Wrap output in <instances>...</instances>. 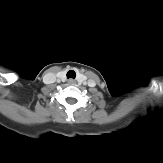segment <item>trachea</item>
I'll list each match as a JSON object with an SVG mask.
<instances>
[{
  "instance_id": "1",
  "label": "trachea",
  "mask_w": 163,
  "mask_h": 163,
  "mask_svg": "<svg viewBox=\"0 0 163 163\" xmlns=\"http://www.w3.org/2000/svg\"><path fill=\"white\" fill-rule=\"evenodd\" d=\"M75 77H76L75 71L69 70V71L67 72V78L75 79Z\"/></svg>"
}]
</instances>
